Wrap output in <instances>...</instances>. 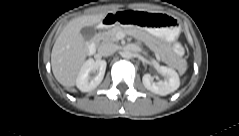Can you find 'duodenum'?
<instances>
[{
    "label": "duodenum",
    "mask_w": 239,
    "mask_h": 136,
    "mask_svg": "<svg viewBox=\"0 0 239 136\" xmlns=\"http://www.w3.org/2000/svg\"><path fill=\"white\" fill-rule=\"evenodd\" d=\"M117 21L116 17L114 15H109L107 16L104 21H103V24L104 25H110V24H113ZM96 50V42H91L88 44L87 46V53L89 55H92Z\"/></svg>",
    "instance_id": "duodenum-1"
}]
</instances>
